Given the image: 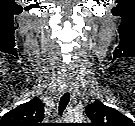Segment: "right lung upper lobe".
I'll use <instances>...</instances> for the list:
<instances>
[{"mask_svg": "<svg viewBox=\"0 0 135 126\" xmlns=\"http://www.w3.org/2000/svg\"><path fill=\"white\" fill-rule=\"evenodd\" d=\"M44 119V104L35 97L6 113L0 126H40Z\"/></svg>", "mask_w": 135, "mask_h": 126, "instance_id": "right-lung-upper-lobe-1", "label": "right lung upper lobe"}]
</instances>
